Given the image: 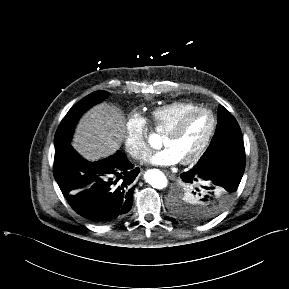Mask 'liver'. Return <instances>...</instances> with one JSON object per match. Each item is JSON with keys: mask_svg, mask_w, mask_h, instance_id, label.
<instances>
[{"mask_svg": "<svg viewBox=\"0 0 289 289\" xmlns=\"http://www.w3.org/2000/svg\"><path fill=\"white\" fill-rule=\"evenodd\" d=\"M122 111L101 103L85 113L76 127L72 146L85 159L98 161L113 155L125 136Z\"/></svg>", "mask_w": 289, "mask_h": 289, "instance_id": "liver-1", "label": "liver"}]
</instances>
